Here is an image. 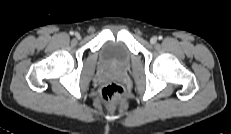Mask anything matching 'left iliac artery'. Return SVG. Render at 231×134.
Listing matches in <instances>:
<instances>
[{
	"instance_id": "1",
	"label": "left iliac artery",
	"mask_w": 231,
	"mask_h": 134,
	"mask_svg": "<svg viewBox=\"0 0 231 134\" xmlns=\"http://www.w3.org/2000/svg\"><path fill=\"white\" fill-rule=\"evenodd\" d=\"M159 39L161 40V39H162V36H159Z\"/></svg>"
}]
</instances>
